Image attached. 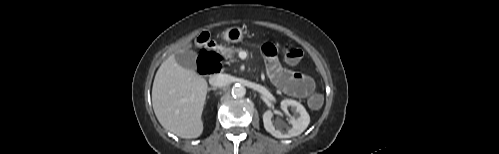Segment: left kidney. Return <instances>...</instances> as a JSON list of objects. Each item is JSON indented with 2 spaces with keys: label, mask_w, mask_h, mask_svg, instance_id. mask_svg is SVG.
<instances>
[{
  "label": "left kidney",
  "mask_w": 499,
  "mask_h": 154,
  "mask_svg": "<svg viewBox=\"0 0 499 154\" xmlns=\"http://www.w3.org/2000/svg\"><path fill=\"white\" fill-rule=\"evenodd\" d=\"M280 105L284 111L287 110L288 107H290L296 114H299L298 118L292 117L290 119V124L292 125V128L288 130L287 133H284V131L280 126L275 127L271 120L273 117V113L270 110H267L263 114L264 128L266 129L267 132H269L272 136L276 138H291L293 136L300 135L308 127L310 123V116L307 113L306 109L302 104L292 99L282 100Z\"/></svg>",
  "instance_id": "1"
}]
</instances>
